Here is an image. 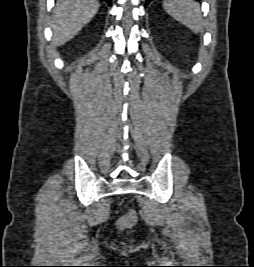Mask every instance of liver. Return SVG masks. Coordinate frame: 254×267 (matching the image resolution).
<instances>
[{
  "label": "liver",
  "mask_w": 254,
  "mask_h": 267,
  "mask_svg": "<svg viewBox=\"0 0 254 267\" xmlns=\"http://www.w3.org/2000/svg\"><path fill=\"white\" fill-rule=\"evenodd\" d=\"M97 0H59L53 12V44L60 46L74 38L96 15Z\"/></svg>",
  "instance_id": "1"
}]
</instances>
